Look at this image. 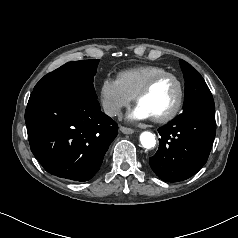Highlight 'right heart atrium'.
I'll use <instances>...</instances> for the list:
<instances>
[{"instance_id": "obj_1", "label": "right heart atrium", "mask_w": 238, "mask_h": 238, "mask_svg": "<svg viewBox=\"0 0 238 238\" xmlns=\"http://www.w3.org/2000/svg\"><path fill=\"white\" fill-rule=\"evenodd\" d=\"M100 99L104 112L110 117L117 116L132 100L114 78L103 80L100 87Z\"/></svg>"}]
</instances>
